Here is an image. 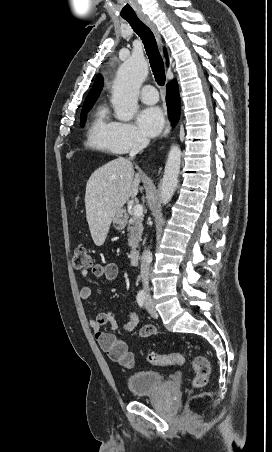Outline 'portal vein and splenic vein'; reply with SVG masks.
I'll use <instances>...</instances> for the list:
<instances>
[{"label": "portal vein and splenic vein", "instance_id": "obj_1", "mask_svg": "<svg viewBox=\"0 0 272 452\" xmlns=\"http://www.w3.org/2000/svg\"><path fill=\"white\" fill-rule=\"evenodd\" d=\"M143 214V206L140 204H136L133 207V215L135 216H141Z\"/></svg>", "mask_w": 272, "mask_h": 452}]
</instances>
